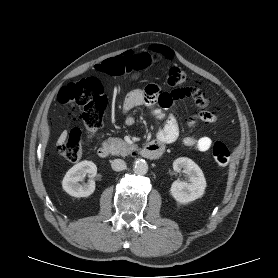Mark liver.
Here are the masks:
<instances>
[{"label": "liver", "mask_w": 278, "mask_h": 278, "mask_svg": "<svg viewBox=\"0 0 278 278\" xmlns=\"http://www.w3.org/2000/svg\"><path fill=\"white\" fill-rule=\"evenodd\" d=\"M66 138H67V131L64 130L57 141V145H62L65 142Z\"/></svg>", "instance_id": "1"}]
</instances>
